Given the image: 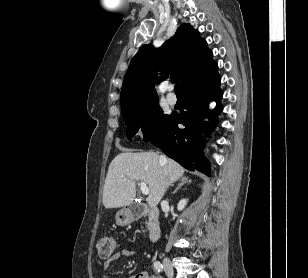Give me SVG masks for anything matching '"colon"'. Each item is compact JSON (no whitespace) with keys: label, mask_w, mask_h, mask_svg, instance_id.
<instances>
[{"label":"colon","mask_w":308,"mask_h":278,"mask_svg":"<svg viewBox=\"0 0 308 278\" xmlns=\"http://www.w3.org/2000/svg\"><path fill=\"white\" fill-rule=\"evenodd\" d=\"M116 249V242L112 237H104L97 243V252L100 258H109Z\"/></svg>","instance_id":"colon-1"}]
</instances>
